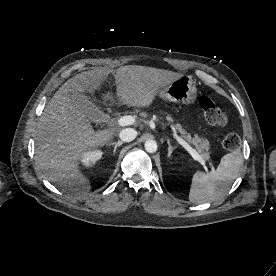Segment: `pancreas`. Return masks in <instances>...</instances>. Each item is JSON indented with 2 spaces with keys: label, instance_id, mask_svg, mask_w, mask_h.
I'll return each instance as SVG.
<instances>
[{
  "label": "pancreas",
  "instance_id": "1",
  "mask_svg": "<svg viewBox=\"0 0 276 276\" xmlns=\"http://www.w3.org/2000/svg\"><path fill=\"white\" fill-rule=\"evenodd\" d=\"M166 120L169 123L173 122V118L170 115L166 116ZM174 130L179 132L181 134V137L188 141L189 143L193 144L196 148L197 153L203 157L204 159L209 158V149L210 144L209 141L206 138L199 137L198 135H195L192 137L189 133H187L180 124L174 125Z\"/></svg>",
  "mask_w": 276,
  "mask_h": 276
}]
</instances>
